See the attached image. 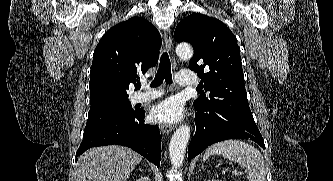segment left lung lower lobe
<instances>
[{
	"instance_id": "obj_1",
	"label": "left lung lower lobe",
	"mask_w": 333,
	"mask_h": 181,
	"mask_svg": "<svg viewBox=\"0 0 333 181\" xmlns=\"http://www.w3.org/2000/svg\"><path fill=\"white\" fill-rule=\"evenodd\" d=\"M194 107L196 132L188 147L189 160L209 145L227 139H250L265 149L254 119L217 107Z\"/></svg>"
}]
</instances>
